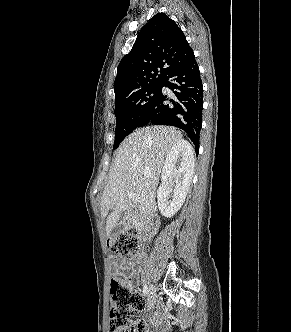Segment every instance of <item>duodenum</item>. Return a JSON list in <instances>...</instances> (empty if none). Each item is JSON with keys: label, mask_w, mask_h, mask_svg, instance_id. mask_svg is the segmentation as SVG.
Returning <instances> with one entry per match:
<instances>
[{"label": "duodenum", "mask_w": 291, "mask_h": 332, "mask_svg": "<svg viewBox=\"0 0 291 332\" xmlns=\"http://www.w3.org/2000/svg\"><path fill=\"white\" fill-rule=\"evenodd\" d=\"M159 225L157 216H147L142 219L139 225V238L141 241L148 240L156 231Z\"/></svg>", "instance_id": "duodenum-1"}]
</instances>
